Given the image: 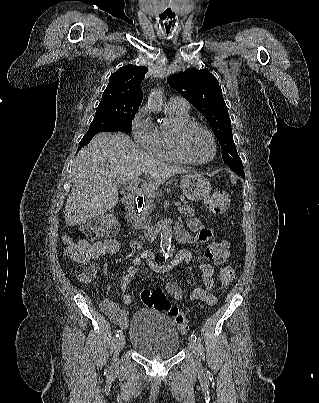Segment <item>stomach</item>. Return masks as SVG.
<instances>
[{
	"instance_id": "0dacf381",
	"label": "stomach",
	"mask_w": 319,
	"mask_h": 403,
	"mask_svg": "<svg viewBox=\"0 0 319 403\" xmlns=\"http://www.w3.org/2000/svg\"><path fill=\"white\" fill-rule=\"evenodd\" d=\"M181 190L190 201H200L211 192V185L207 178L198 173H189L181 180Z\"/></svg>"
}]
</instances>
